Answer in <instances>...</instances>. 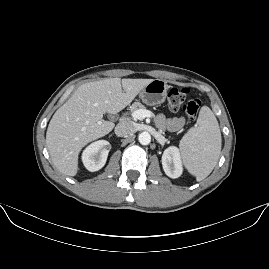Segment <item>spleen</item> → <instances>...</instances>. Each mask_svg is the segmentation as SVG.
I'll use <instances>...</instances> for the list:
<instances>
[{"instance_id": "obj_1", "label": "spleen", "mask_w": 269, "mask_h": 269, "mask_svg": "<svg viewBox=\"0 0 269 269\" xmlns=\"http://www.w3.org/2000/svg\"><path fill=\"white\" fill-rule=\"evenodd\" d=\"M196 124L183 136L179 147L186 169L197 181H202L219 159L221 132L214 113L207 106L201 107Z\"/></svg>"}]
</instances>
